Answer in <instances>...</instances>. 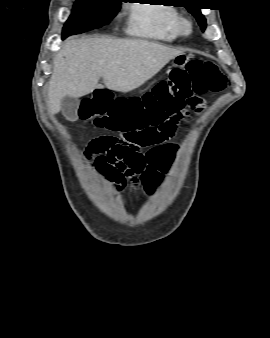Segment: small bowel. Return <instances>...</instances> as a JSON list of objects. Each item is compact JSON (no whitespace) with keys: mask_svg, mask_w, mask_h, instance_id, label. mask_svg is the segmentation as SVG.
Returning <instances> with one entry per match:
<instances>
[{"mask_svg":"<svg viewBox=\"0 0 270 338\" xmlns=\"http://www.w3.org/2000/svg\"><path fill=\"white\" fill-rule=\"evenodd\" d=\"M133 148L137 149V146L120 138L110 135H99L87 142L84 158L89 161L88 166L94 168L100 176H109L118 163L127 158L129 151ZM94 153H99L100 155L95 160H92ZM154 162V169L142 175V179L151 187L159 184L169 171L172 163V151H162Z\"/></svg>","mask_w":270,"mask_h":338,"instance_id":"obj_1","label":"small bowel"}]
</instances>
